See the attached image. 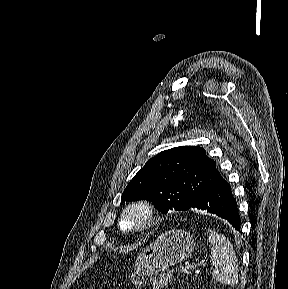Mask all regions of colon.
Returning a JSON list of instances; mask_svg holds the SVG:
<instances>
[{"mask_svg": "<svg viewBox=\"0 0 288 289\" xmlns=\"http://www.w3.org/2000/svg\"><path fill=\"white\" fill-rule=\"evenodd\" d=\"M132 282L133 284L140 286L143 283V275L139 272H136L132 276Z\"/></svg>", "mask_w": 288, "mask_h": 289, "instance_id": "obj_1", "label": "colon"}]
</instances>
